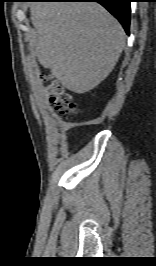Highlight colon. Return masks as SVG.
<instances>
[{
  "instance_id": "colon-1",
  "label": "colon",
  "mask_w": 156,
  "mask_h": 266,
  "mask_svg": "<svg viewBox=\"0 0 156 266\" xmlns=\"http://www.w3.org/2000/svg\"><path fill=\"white\" fill-rule=\"evenodd\" d=\"M45 79L48 81L47 91L54 110L65 119L72 118L77 114V107L72 96L50 76H45Z\"/></svg>"
}]
</instances>
